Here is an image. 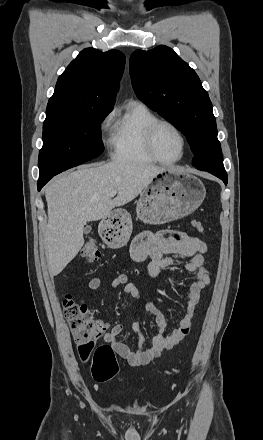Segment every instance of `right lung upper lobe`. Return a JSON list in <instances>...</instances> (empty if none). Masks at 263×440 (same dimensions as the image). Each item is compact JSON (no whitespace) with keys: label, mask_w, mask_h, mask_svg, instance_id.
I'll use <instances>...</instances> for the list:
<instances>
[{"label":"right lung upper lobe","mask_w":263,"mask_h":440,"mask_svg":"<svg viewBox=\"0 0 263 440\" xmlns=\"http://www.w3.org/2000/svg\"><path fill=\"white\" fill-rule=\"evenodd\" d=\"M124 66L125 56L118 50L84 49L58 78L46 115L111 111Z\"/></svg>","instance_id":"right-lung-upper-lobe-1"}]
</instances>
